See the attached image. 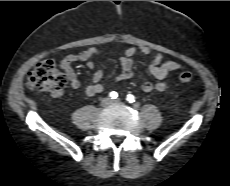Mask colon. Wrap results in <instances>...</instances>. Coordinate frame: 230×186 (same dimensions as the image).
Here are the masks:
<instances>
[{"mask_svg": "<svg viewBox=\"0 0 230 186\" xmlns=\"http://www.w3.org/2000/svg\"><path fill=\"white\" fill-rule=\"evenodd\" d=\"M177 79L187 83L193 79V74L190 71H180L177 74ZM66 83V77L57 69L55 62L50 59L39 61L27 77V86L30 90L52 95L59 94Z\"/></svg>", "mask_w": 230, "mask_h": 186, "instance_id": "1", "label": "colon"}]
</instances>
